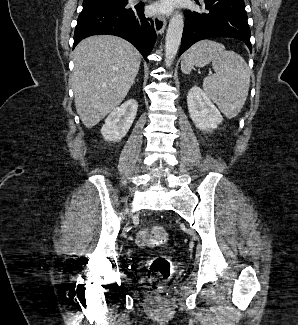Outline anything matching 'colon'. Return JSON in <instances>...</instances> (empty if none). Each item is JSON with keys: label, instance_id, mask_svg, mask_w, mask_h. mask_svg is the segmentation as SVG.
Listing matches in <instances>:
<instances>
[{"label": "colon", "instance_id": "obj_1", "mask_svg": "<svg viewBox=\"0 0 298 325\" xmlns=\"http://www.w3.org/2000/svg\"><path fill=\"white\" fill-rule=\"evenodd\" d=\"M167 233L162 227H152L141 230L136 236L140 246L155 247L164 244ZM172 276V262L168 257L161 256L154 259L148 270V278L152 287L162 292Z\"/></svg>", "mask_w": 298, "mask_h": 325}]
</instances>
